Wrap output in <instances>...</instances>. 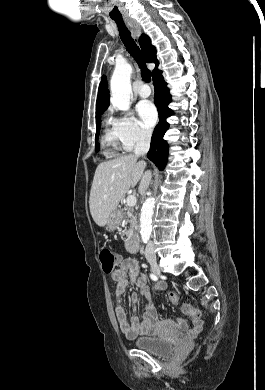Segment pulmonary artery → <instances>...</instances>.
Here are the masks:
<instances>
[{"mask_svg":"<svg viewBox=\"0 0 265 390\" xmlns=\"http://www.w3.org/2000/svg\"><path fill=\"white\" fill-rule=\"evenodd\" d=\"M136 91L141 98H147L151 93L149 86H147L146 84L139 85Z\"/></svg>","mask_w":265,"mask_h":390,"instance_id":"obj_1","label":"pulmonary artery"}]
</instances>
